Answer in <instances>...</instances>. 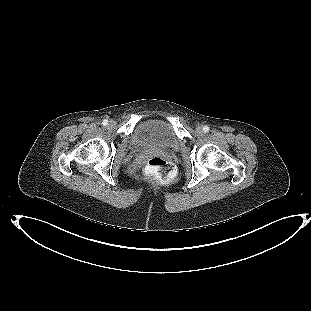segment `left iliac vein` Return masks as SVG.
Instances as JSON below:
<instances>
[{
  "label": "left iliac vein",
  "mask_w": 311,
  "mask_h": 311,
  "mask_svg": "<svg viewBox=\"0 0 311 311\" xmlns=\"http://www.w3.org/2000/svg\"><path fill=\"white\" fill-rule=\"evenodd\" d=\"M195 131H196L197 134H202V133H203V128H202V126L198 125V126L196 127Z\"/></svg>",
  "instance_id": "obj_1"
}]
</instances>
